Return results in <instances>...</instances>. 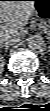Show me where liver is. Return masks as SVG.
I'll list each match as a JSON object with an SVG mask.
<instances>
[{
  "label": "liver",
  "instance_id": "1",
  "mask_svg": "<svg viewBox=\"0 0 50 111\" xmlns=\"http://www.w3.org/2000/svg\"><path fill=\"white\" fill-rule=\"evenodd\" d=\"M1 21L5 22L0 27V38L5 34L27 33L25 26L35 12V2L32 0H8L1 1ZM2 43V40H1Z\"/></svg>",
  "mask_w": 50,
  "mask_h": 111
}]
</instances>
